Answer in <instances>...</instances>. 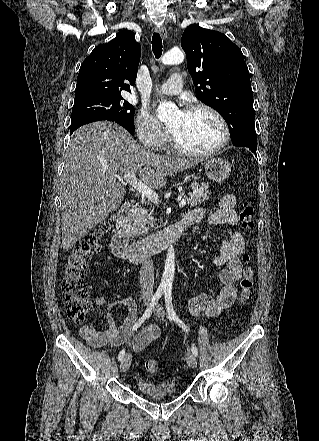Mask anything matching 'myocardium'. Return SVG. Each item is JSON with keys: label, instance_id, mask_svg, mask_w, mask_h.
<instances>
[{"label": "myocardium", "instance_id": "obj_1", "mask_svg": "<svg viewBox=\"0 0 319 441\" xmlns=\"http://www.w3.org/2000/svg\"><path fill=\"white\" fill-rule=\"evenodd\" d=\"M198 110H203L210 113L218 121L222 131V138L220 142L211 149L205 151H193L182 147L178 143L172 132L170 131L171 147L176 153L180 155L188 156V157H209L221 151L229 141L230 138L229 128L224 117L216 109L204 103L190 104L185 109V112H194Z\"/></svg>", "mask_w": 319, "mask_h": 441}]
</instances>
